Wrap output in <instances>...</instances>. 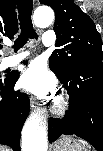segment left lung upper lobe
<instances>
[{
    "label": "left lung upper lobe",
    "mask_w": 103,
    "mask_h": 151,
    "mask_svg": "<svg viewBox=\"0 0 103 151\" xmlns=\"http://www.w3.org/2000/svg\"><path fill=\"white\" fill-rule=\"evenodd\" d=\"M40 3L55 12L53 29L56 46L61 48L53 52L49 65L57 76H69L90 57L103 58L102 41L94 22L72 0H40Z\"/></svg>",
    "instance_id": "1"
}]
</instances>
